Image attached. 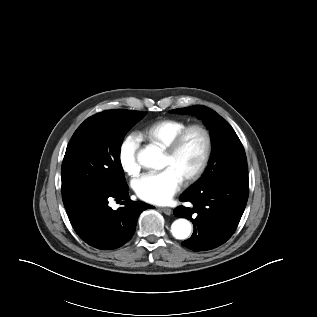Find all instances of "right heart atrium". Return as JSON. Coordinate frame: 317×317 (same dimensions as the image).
I'll list each match as a JSON object with an SVG mask.
<instances>
[{
	"mask_svg": "<svg viewBox=\"0 0 317 317\" xmlns=\"http://www.w3.org/2000/svg\"><path fill=\"white\" fill-rule=\"evenodd\" d=\"M140 142L137 136L130 134L120 144L118 150V161L122 170L130 176L137 175L140 171L138 159Z\"/></svg>",
	"mask_w": 317,
	"mask_h": 317,
	"instance_id": "1",
	"label": "right heart atrium"
}]
</instances>
